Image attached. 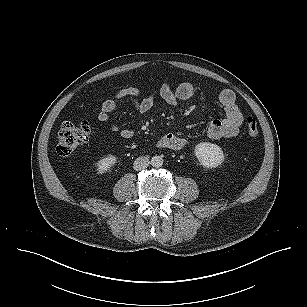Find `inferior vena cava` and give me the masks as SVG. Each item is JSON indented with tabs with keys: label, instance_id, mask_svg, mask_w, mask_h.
Segmentation results:
<instances>
[{
	"label": "inferior vena cava",
	"instance_id": "1",
	"mask_svg": "<svg viewBox=\"0 0 307 307\" xmlns=\"http://www.w3.org/2000/svg\"><path fill=\"white\" fill-rule=\"evenodd\" d=\"M149 164H150L149 159L147 157L141 156L134 161L133 168L136 171H140L146 169L149 166Z\"/></svg>",
	"mask_w": 307,
	"mask_h": 307
}]
</instances>
